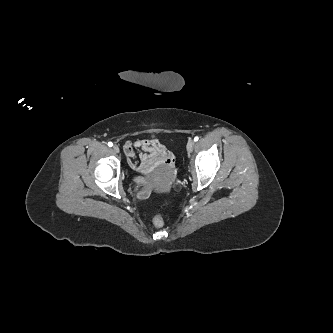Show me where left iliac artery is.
Returning <instances> with one entry per match:
<instances>
[{"instance_id": "1", "label": "left iliac artery", "mask_w": 333, "mask_h": 333, "mask_svg": "<svg viewBox=\"0 0 333 333\" xmlns=\"http://www.w3.org/2000/svg\"><path fill=\"white\" fill-rule=\"evenodd\" d=\"M198 140H199V137L196 136V137L194 138V141L197 142Z\"/></svg>"}]
</instances>
